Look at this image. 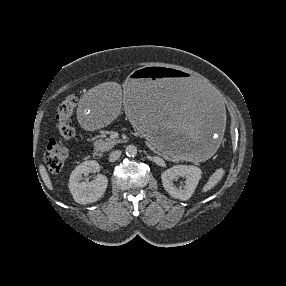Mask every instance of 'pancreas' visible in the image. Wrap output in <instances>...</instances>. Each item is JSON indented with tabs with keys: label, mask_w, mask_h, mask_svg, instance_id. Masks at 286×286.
Masks as SVG:
<instances>
[{
	"label": "pancreas",
	"mask_w": 286,
	"mask_h": 286,
	"mask_svg": "<svg viewBox=\"0 0 286 286\" xmlns=\"http://www.w3.org/2000/svg\"><path fill=\"white\" fill-rule=\"evenodd\" d=\"M120 140L118 139H112V138H107L105 140L103 139H98L96 141H94V147L96 150H100V151H108L110 150L112 147H114V145H116L117 143H119ZM152 150L156 151L153 147H151ZM166 159L171 160L172 158L168 157V156H164Z\"/></svg>",
	"instance_id": "cf45deb5"
}]
</instances>
